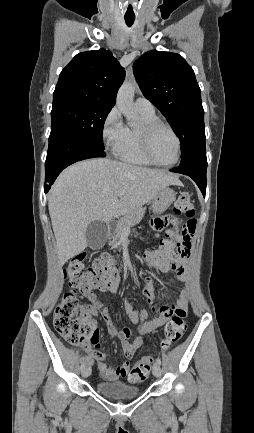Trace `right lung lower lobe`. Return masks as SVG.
Returning a JSON list of instances; mask_svg holds the SVG:
<instances>
[{"instance_id": "right-lung-lower-lobe-1", "label": "right lung lower lobe", "mask_w": 254, "mask_h": 433, "mask_svg": "<svg viewBox=\"0 0 254 433\" xmlns=\"http://www.w3.org/2000/svg\"><path fill=\"white\" fill-rule=\"evenodd\" d=\"M105 157L104 150H101L78 137L68 133L57 134L49 139V147L45 162V186L47 193L51 185L67 166L84 159Z\"/></svg>"}]
</instances>
